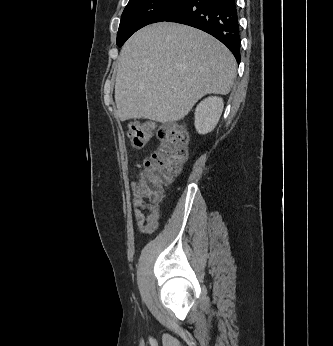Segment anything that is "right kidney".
I'll use <instances>...</instances> for the list:
<instances>
[{"mask_svg": "<svg viewBox=\"0 0 333 346\" xmlns=\"http://www.w3.org/2000/svg\"><path fill=\"white\" fill-rule=\"evenodd\" d=\"M223 99L208 97L195 110V128L199 134L211 132L217 125L223 111Z\"/></svg>", "mask_w": 333, "mask_h": 346, "instance_id": "right-kidney-1", "label": "right kidney"}]
</instances>
